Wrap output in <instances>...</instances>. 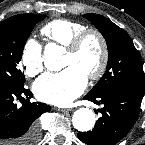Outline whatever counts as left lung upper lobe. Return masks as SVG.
<instances>
[{
  "mask_svg": "<svg viewBox=\"0 0 145 145\" xmlns=\"http://www.w3.org/2000/svg\"><path fill=\"white\" fill-rule=\"evenodd\" d=\"M83 17L96 26L108 46L106 73L88 94L99 96L113 90L126 89L143 95L142 59L127 32L101 15L89 13Z\"/></svg>",
  "mask_w": 145,
  "mask_h": 145,
  "instance_id": "left-lung-upper-lobe-1",
  "label": "left lung upper lobe"
}]
</instances>
